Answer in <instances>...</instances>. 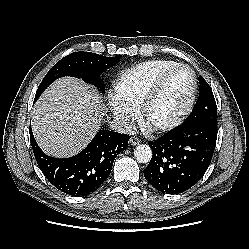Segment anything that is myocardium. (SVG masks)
<instances>
[{
  "instance_id": "myocardium-1",
  "label": "myocardium",
  "mask_w": 249,
  "mask_h": 249,
  "mask_svg": "<svg viewBox=\"0 0 249 249\" xmlns=\"http://www.w3.org/2000/svg\"><path fill=\"white\" fill-rule=\"evenodd\" d=\"M179 69H186L191 75V86L188 93L187 100L182 108V110L170 121L153 126L156 131L165 132L172 130L179 125H181L185 119L189 116L195 103L197 94V77L195 71L187 64H177L165 70L156 79L150 90L145 95L139 107V114L142 121L147 122V114L154 103V101L159 96L165 82L175 71Z\"/></svg>"
}]
</instances>
